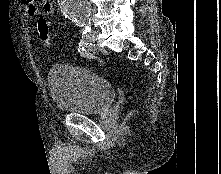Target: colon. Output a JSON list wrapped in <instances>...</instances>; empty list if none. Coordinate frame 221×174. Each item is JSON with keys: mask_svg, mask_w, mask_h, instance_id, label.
I'll return each instance as SVG.
<instances>
[{"mask_svg": "<svg viewBox=\"0 0 221 174\" xmlns=\"http://www.w3.org/2000/svg\"><path fill=\"white\" fill-rule=\"evenodd\" d=\"M37 31H38V37L41 42L49 44L52 41L49 24L46 19L44 18L39 19Z\"/></svg>", "mask_w": 221, "mask_h": 174, "instance_id": "5ec220e1", "label": "colon"}]
</instances>
